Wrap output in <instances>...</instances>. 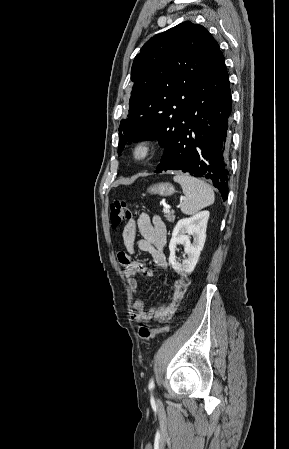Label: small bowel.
Here are the masks:
<instances>
[{"instance_id": "1", "label": "small bowel", "mask_w": 289, "mask_h": 449, "mask_svg": "<svg viewBox=\"0 0 289 449\" xmlns=\"http://www.w3.org/2000/svg\"><path fill=\"white\" fill-rule=\"evenodd\" d=\"M137 232L140 238L137 239ZM167 231L164 223L158 216L150 218L142 213L137 220H131L122 233L124 251L118 253V261L123 267L124 275L132 289L137 290L138 275L151 277L153 271L144 263L133 260L136 248L150 254L153 264L161 269L168 268V261L164 252L167 240ZM189 278L181 276L174 281V290L170 301L163 306L145 310L144 303L138 300L133 305V319L136 322H149L157 320L164 322L169 320L176 312L180 302L185 297L189 288Z\"/></svg>"}]
</instances>
